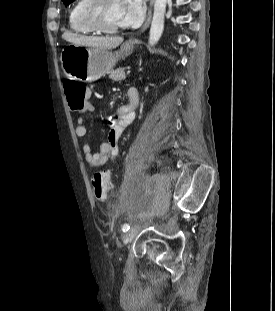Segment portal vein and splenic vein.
<instances>
[{
  "label": "portal vein and splenic vein",
  "instance_id": "obj_1",
  "mask_svg": "<svg viewBox=\"0 0 275 311\" xmlns=\"http://www.w3.org/2000/svg\"><path fill=\"white\" fill-rule=\"evenodd\" d=\"M130 72H131V71H130V70H128V71H127V74H130Z\"/></svg>",
  "mask_w": 275,
  "mask_h": 311
}]
</instances>
